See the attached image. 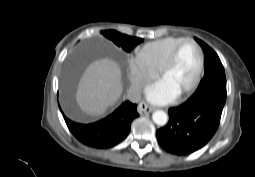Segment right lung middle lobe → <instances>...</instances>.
Segmentation results:
<instances>
[{
  "label": "right lung middle lobe",
  "mask_w": 255,
  "mask_h": 177,
  "mask_svg": "<svg viewBox=\"0 0 255 177\" xmlns=\"http://www.w3.org/2000/svg\"><path fill=\"white\" fill-rule=\"evenodd\" d=\"M101 34L107 39L113 41L117 46L122 47L126 52H130L143 39L121 34L115 30L101 31Z\"/></svg>",
  "instance_id": "obj_1"
}]
</instances>
